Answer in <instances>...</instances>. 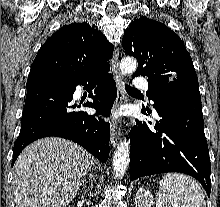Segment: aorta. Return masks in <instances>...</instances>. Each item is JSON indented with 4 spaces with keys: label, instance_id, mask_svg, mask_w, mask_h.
<instances>
[{
    "label": "aorta",
    "instance_id": "1",
    "mask_svg": "<svg viewBox=\"0 0 220 207\" xmlns=\"http://www.w3.org/2000/svg\"><path fill=\"white\" fill-rule=\"evenodd\" d=\"M137 69V61L133 57H124L120 62L123 75L132 74ZM130 161V144L123 140L118 145L113 157V171L116 178L121 179L128 168Z\"/></svg>",
    "mask_w": 220,
    "mask_h": 207
}]
</instances>
